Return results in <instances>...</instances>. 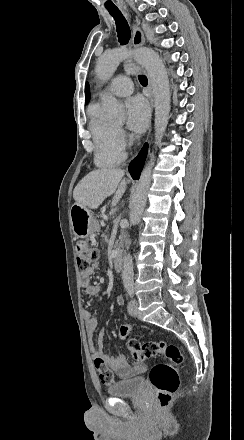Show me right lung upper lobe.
<instances>
[{
  "instance_id": "cb5924a9",
  "label": "right lung upper lobe",
  "mask_w": 244,
  "mask_h": 440,
  "mask_svg": "<svg viewBox=\"0 0 244 440\" xmlns=\"http://www.w3.org/2000/svg\"><path fill=\"white\" fill-rule=\"evenodd\" d=\"M85 100L88 102L90 100V88L88 83L85 85Z\"/></svg>"
}]
</instances>
